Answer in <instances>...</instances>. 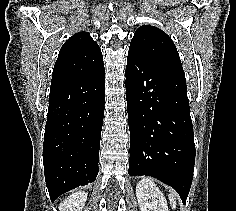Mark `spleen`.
<instances>
[{
	"label": "spleen",
	"mask_w": 236,
	"mask_h": 211,
	"mask_svg": "<svg viewBox=\"0 0 236 211\" xmlns=\"http://www.w3.org/2000/svg\"><path fill=\"white\" fill-rule=\"evenodd\" d=\"M176 197L177 194L175 192H172L169 196L170 204L172 205V208H176Z\"/></svg>",
	"instance_id": "obj_1"
}]
</instances>
